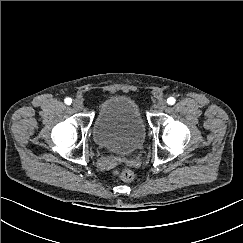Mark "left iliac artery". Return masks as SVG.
I'll use <instances>...</instances> for the list:
<instances>
[{"instance_id": "obj_1", "label": "left iliac artery", "mask_w": 243, "mask_h": 243, "mask_svg": "<svg viewBox=\"0 0 243 243\" xmlns=\"http://www.w3.org/2000/svg\"><path fill=\"white\" fill-rule=\"evenodd\" d=\"M175 98L174 97H169L168 99H167V103L169 104V105H173L174 103H175Z\"/></svg>"}]
</instances>
